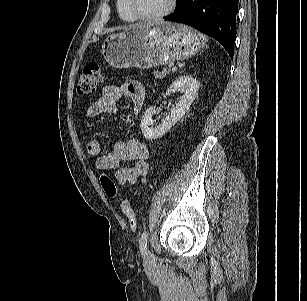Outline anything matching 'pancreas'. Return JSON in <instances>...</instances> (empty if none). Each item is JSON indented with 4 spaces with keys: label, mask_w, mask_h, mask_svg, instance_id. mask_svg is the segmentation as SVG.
<instances>
[{
    "label": "pancreas",
    "mask_w": 307,
    "mask_h": 301,
    "mask_svg": "<svg viewBox=\"0 0 307 301\" xmlns=\"http://www.w3.org/2000/svg\"><path fill=\"white\" fill-rule=\"evenodd\" d=\"M170 73H171L170 69L164 68L161 72H158V71L154 72V75H155V78L162 79L166 77L167 74H170Z\"/></svg>",
    "instance_id": "obj_1"
}]
</instances>
